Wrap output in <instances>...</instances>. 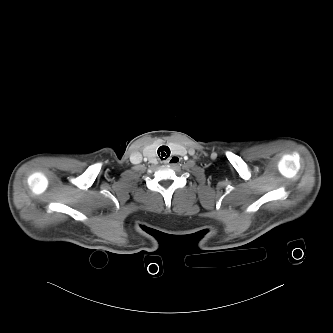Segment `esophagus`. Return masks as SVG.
Instances as JSON below:
<instances>
[{
  "label": "esophagus",
  "instance_id": "34e87169",
  "mask_svg": "<svg viewBox=\"0 0 333 333\" xmlns=\"http://www.w3.org/2000/svg\"><path fill=\"white\" fill-rule=\"evenodd\" d=\"M181 161V158H179L178 156L174 155L170 158H168L167 160H165L164 162L166 164H179Z\"/></svg>",
  "mask_w": 333,
  "mask_h": 333
}]
</instances>
